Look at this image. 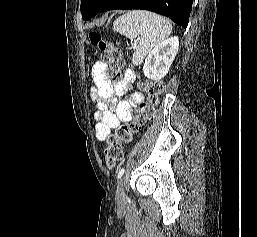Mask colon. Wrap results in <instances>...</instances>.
I'll return each instance as SVG.
<instances>
[{
  "label": "colon",
  "instance_id": "5ec220e1",
  "mask_svg": "<svg viewBox=\"0 0 257 237\" xmlns=\"http://www.w3.org/2000/svg\"><path fill=\"white\" fill-rule=\"evenodd\" d=\"M89 40L100 50L102 60L108 64V78L115 83L120 82L123 68L122 51L104 40L97 32L89 33ZM143 88L147 93V100L140 105L132 120L117 126L114 133L107 139L105 162L108 168H114L122 161L123 145L130 143L134 135L155 117L160 96L164 91V84L162 82H146Z\"/></svg>",
  "mask_w": 257,
  "mask_h": 237
}]
</instances>
